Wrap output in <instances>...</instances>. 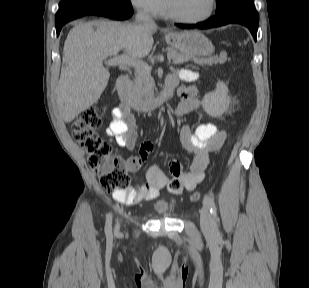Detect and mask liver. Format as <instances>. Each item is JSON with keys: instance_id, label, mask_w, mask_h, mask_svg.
Listing matches in <instances>:
<instances>
[{"instance_id": "6515ba94", "label": "liver", "mask_w": 309, "mask_h": 288, "mask_svg": "<svg viewBox=\"0 0 309 288\" xmlns=\"http://www.w3.org/2000/svg\"><path fill=\"white\" fill-rule=\"evenodd\" d=\"M156 30V26L106 20L76 23L64 43L57 89L56 102L62 119L69 123L98 101L110 78L103 65L107 57L120 51L131 58L147 56Z\"/></svg>"}]
</instances>
